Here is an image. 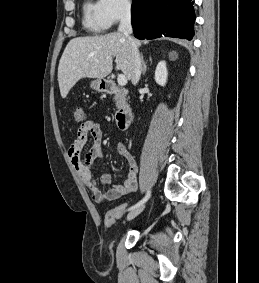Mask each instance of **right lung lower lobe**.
Here are the masks:
<instances>
[{
  "label": "right lung lower lobe",
  "instance_id": "98d812e1",
  "mask_svg": "<svg viewBox=\"0 0 259 283\" xmlns=\"http://www.w3.org/2000/svg\"><path fill=\"white\" fill-rule=\"evenodd\" d=\"M131 14L138 39L164 35L190 40L194 35L192 0H133Z\"/></svg>",
  "mask_w": 259,
  "mask_h": 283
}]
</instances>
